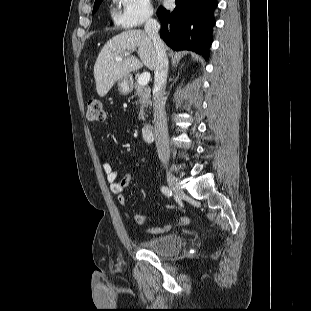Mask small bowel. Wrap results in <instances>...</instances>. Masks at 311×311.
<instances>
[{
	"label": "small bowel",
	"instance_id": "obj_1",
	"mask_svg": "<svg viewBox=\"0 0 311 311\" xmlns=\"http://www.w3.org/2000/svg\"><path fill=\"white\" fill-rule=\"evenodd\" d=\"M102 169L106 175L107 181L110 184L111 191L117 196L120 205L124 206L126 204V198L123 195L124 189L130 185L132 181V176L129 174L124 175L120 180H118V171L108 161L102 162ZM133 220L138 225H144L147 222V216L144 214H135ZM188 220L185 217L177 219L173 223H167L162 227H152L148 229L151 234H162L171 230L173 225L184 226L187 225Z\"/></svg>",
	"mask_w": 311,
	"mask_h": 311
}]
</instances>
